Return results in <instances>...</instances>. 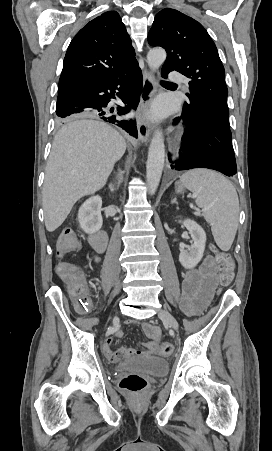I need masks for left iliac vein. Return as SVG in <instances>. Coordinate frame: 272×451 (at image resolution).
I'll list each match as a JSON object with an SVG mask.
<instances>
[{
    "mask_svg": "<svg viewBox=\"0 0 272 451\" xmlns=\"http://www.w3.org/2000/svg\"><path fill=\"white\" fill-rule=\"evenodd\" d=\"M158 315H159V318L161 320H163L166 324H168V326L171 329L176 330V331L178 330V323L170 312H168L166 310H160Z\"/></svg>",
    "mask_w": 272,
    "mask_h": 451,
    "instance_id": "left-iliac-vein-1",
    "label": "left iliac vein"
}]
</instances>
